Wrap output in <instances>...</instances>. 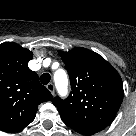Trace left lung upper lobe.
Masks as SVG:
<instances>
[{
  "instance_id": "left-lung-upper-lobe-1",
  "label": "left lung upper lobe",
  "mask_w": 136,
  "mask_h": 136,
  "mask_svg": "<svg viewBox=\"0 0 136 136\" xmlns=\"http://www.w3.org/2000/svg\"><path fill=\"white\" fill-rule=\"evenodd\" d=\"M59 54L72 90L65 100L58 96L52 100L63 122L73 130L110 125L124 95L118 72L102 56L85 48Z\"/></svg>"
}]
</instances>
